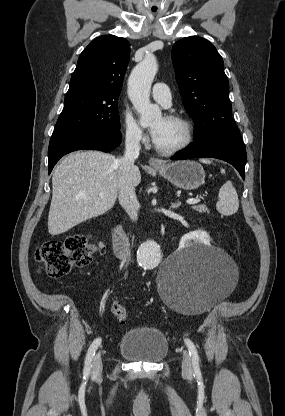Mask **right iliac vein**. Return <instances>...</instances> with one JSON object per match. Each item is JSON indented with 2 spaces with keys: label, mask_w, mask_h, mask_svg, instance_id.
Segmentation results:
<instances>
[{
  "label": "right iliac vein",
  "mask_w": 285,
  "mask_h": 416,
  "mask_svg": "<svg viewBox=\"0 0 285 416\" xmlns=\"http://www.w3.org/2000/svg\"><path fill=\"white\" fill-rule=\"evenodd\" d=\"M101 371H102V361H101V351H100L96 354L94 358L92 374L99 375Z\"/></svg>",
  "instance_id": "right-iliac-vein-1"
}]
</instances>
